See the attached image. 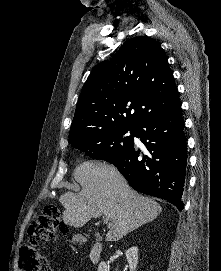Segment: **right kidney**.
Masks as SVG:
<instances>
[{
	"mask_svg": "<svg viewBox=\"0 0 221 271\" xmlns=\"http://www.w3.org/2000/svg\"><path fill=\"white\" fill-rule=\"evenodd\" d=\"M126 259L129 265V271H135L138 263V247L133 245V247H128L125 251ZM97 271H110L106 261H100Z\"/></svg>",
	"mask_w": 221,
	"mask_h": 271,
	"instance_id": "ca27d5eb",
	"label": "right kidney"
}]
</instances>
